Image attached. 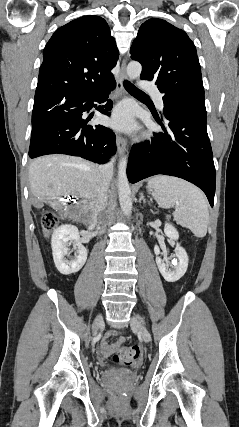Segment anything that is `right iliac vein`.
<instances>
[{"instance_id":"right-iliac-vein-1","label":"right iliac vein","mask_w":239,"mask_h":427,"mask_svg":"<svg viewBox=\"0 0 239 427\" xmlns=\"http://www.w3.org/2000/svg\"><path fill=\"white\" fill-rule=\"evenodd\" d=\"M103 324V317L102 315H98L95 320L94 323L92 325V331L95 333L97 332L98 328Z\"/></svg>"}]
</instances>
